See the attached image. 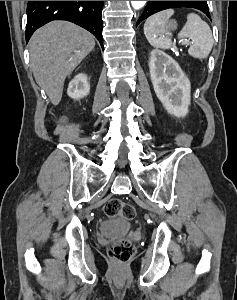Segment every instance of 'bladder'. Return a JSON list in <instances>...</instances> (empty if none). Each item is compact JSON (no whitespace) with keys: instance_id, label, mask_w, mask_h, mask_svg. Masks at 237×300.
Instances as JSON below:
<instances>
[{"instance_id":"31cf9c89","label":"bladder","mask_w":237,"mask_h":300,"mask_svg":"<svg viewBox=\"0 0 237 300\" xmlns=\"http://www.w3.org/2000/svg\"><path fill=\"white\" fill-rule=\"evenodd\" d=\"M128 229L129 224L123 218H111L101 225V232L106 236L121 235Z\"/></svg>"}]
</instances>
